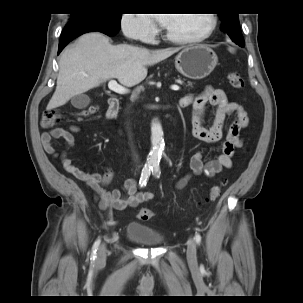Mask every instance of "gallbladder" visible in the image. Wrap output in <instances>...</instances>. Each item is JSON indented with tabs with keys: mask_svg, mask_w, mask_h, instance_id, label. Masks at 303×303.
I'll use <instances>...</instances> for the list:
<instances>
[{
	"mask_svg": "<svg viewBox=\"0 0 303 303\" xmlns=\"http://www.w3.org/2000/svg\"><path fill=\"white\" fill-rule=\"evenodd\" d=\"M89 103H90V98L88 95L84 93L76 95L71 99L72 106L77 109H84L89 105Z\"/></svg>",
	"mask_w": 303,
	"mask_h": 303,
	"instance_id": "obj_1",
	"label": "gallbladder"
}]
</instances>
